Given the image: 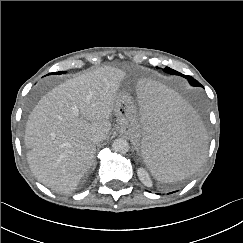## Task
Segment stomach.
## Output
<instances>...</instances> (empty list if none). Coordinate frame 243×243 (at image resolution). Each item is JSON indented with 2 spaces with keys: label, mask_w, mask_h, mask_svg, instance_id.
<instances>
[{
  "label": "stomach",
  "mask_w": 243,
  "mask_h": 243,
  "mask_svg": "<svg viewBox=\"0 0 243 243\" xmlns=\"http://www.w3.org/2000/svg\"><path fill=\"white\" fill-rule=\"evenodd\" d=\"M113 111L119 122V132L127 135L137 145V110L132 97L124 92L118 93Z\"/></svg>",
  "instance_id": "stomach-1"
}]
</instances>
